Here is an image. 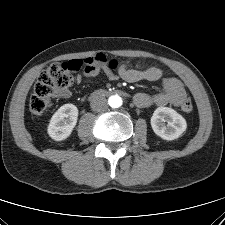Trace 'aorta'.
Returning a JSON list of instances; mask_svg holds the SVG:
<instances>
[{
	"label": "aorta",
	"instance_id": "762f6f07",
	"mask_svg": "<svg viewBox=\"0 0 225 225\" xmlns=\"http://www.w3.org/2000/svg\"><path fill=\"white\" fill-rule=\"evenodd\" d=\"M109 104L112 108H119L123 104V100L119 95H113L109 98Z\"/></svg>",
	"mask_w": 225,
	"mask_h": 225
}]
</instances>
